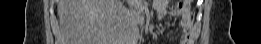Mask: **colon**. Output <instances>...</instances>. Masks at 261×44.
<instances>
[{
    "label": "colon",
    "mask_w": 261,
    "mask_h": 44,
    "mask_svg": "<svg viewBox=\"0 0 261 44\" xmlns=\"http://www.w3.org/2000/svg\"><path fill=\"white\" fill-rule=\"evenodd\" d=\"M177 5H178V7L183 8V7H185V6H189V5H190V1H188V0L178 1V2H177Z\"/></svg>",
    "instance_id": "colon-1"
}]
</instances>
